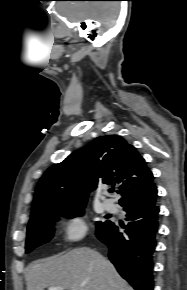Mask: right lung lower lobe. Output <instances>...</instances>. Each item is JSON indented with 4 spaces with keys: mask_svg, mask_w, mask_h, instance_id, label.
<instances>
[{
    "mask_svg": "<svg viewBox=\"0 0 187 290\" xmlns=\"http://www.w3.org/2000/svg\"><path fill=\"white\" fill-rule=\"evenodd\" d=\"M129 224L109 221L96 236L109 248V259L135 290H153V254L157 245L159 207L156 200L124 207Z\"/></svg>",
    "mask_w": 187,
    "mask_h": 290,
    "instance_id": "98d812e1",
    "label": "right lung lower lobe"
}]
</instances>
